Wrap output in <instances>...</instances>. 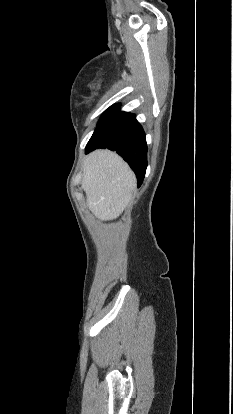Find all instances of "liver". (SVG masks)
<instances>
[{"label":"liver","instance_id":"liver-1","mask_svg":"<svg viewBox=\"0 0 233 414\" xmlns=\"http://www.w3.org/2000/svg\"><path fill=\"white\" fill-rule=\"evenodd\" d=\"M137 180L116 153L96 150L83 163L82 188L89 210L101 221L116 219L129 204Z\"/></svg>","mask_w":233,"mask_h":414}]
</instances>
